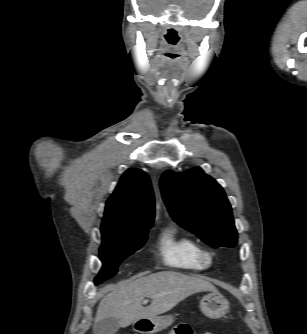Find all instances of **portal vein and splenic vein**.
Here are the masks:
<instances>
[{"instance_id":"obj_1","label":"portal vein and splenic vein","mask_w":307,"mask_h":334,"mask_svg":"<svg viewBox=\"0 0 307 334\" xmlns=\"http://www.w3.org/2000/svg\"><path fill=\"white\" fill-rule=\"evenodd\" d=\"M148 302V300L146 299V300H144V303H147Z\"/></svg>"}]
</instances>
